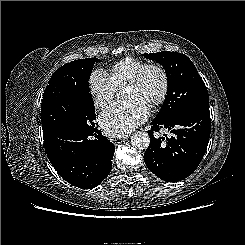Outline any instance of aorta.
I'll return each instance as SVG.
<instances>
[{
	"label": "aorta",
	"mask_w": 245,
	"mask_h": 245,
	"mask_svg": "<svg viewBox=\"0 0 245 245\" xmlns=\"http://www.w3.org/2000/svg\"><path fill=\"white\" fill-rule=\"evenodd\" d=\"M131 144L137 149H146L150 144V137L146 132L138 131L132 135Z\"/></svg>",
	"instance_id": "1"
}]
</instances>
